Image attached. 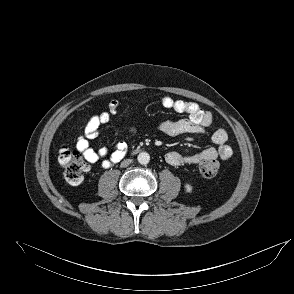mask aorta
<instances>
[{
	"mask_svg": "<svg viewBox=\"0 0 294 294\" xmlns=\"http://www.w3.org/2000/svg\"><path fill=\"white\" fill-rule=\"evenodd\" d=\"M137 160L140 164L146 165L150 161V155L147 152H141L138 154Z\"/></svg>",
	"mask_w": 294,
	"mask_h": 294,
	"instance_id": "1",
	"label": "aorta"
}]
</instances>
